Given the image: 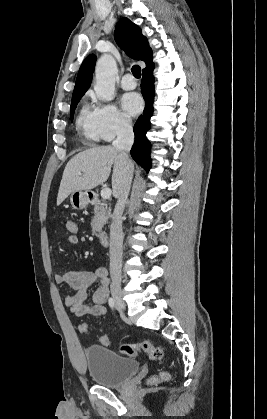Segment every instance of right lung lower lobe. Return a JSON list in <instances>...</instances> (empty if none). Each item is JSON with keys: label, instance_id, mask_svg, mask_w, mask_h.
<instances>
[{"label": "right lung lower lobe", "instance_id": "1", "mask_svg": "<svg viewBox=\"0 0 267 419\" xmlns=\"http://www.w3.org/2000/svg\"><path fill=\"white\" fill-rule=\"evenodd\" d=\"M154 65L143 70L141 91L145 99V109L134 125L135 142L131 149L132 158L147 172L151 167L150 144L146 139V133L150 129V117L153 115L154 101Z\"/></svg>", "mask_w": 267, "mask_h": 419}]
</instances>
